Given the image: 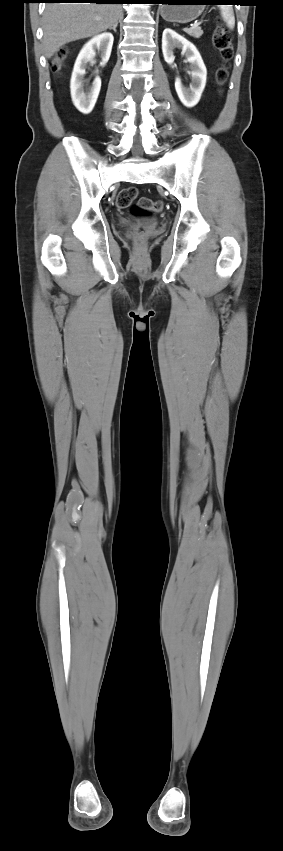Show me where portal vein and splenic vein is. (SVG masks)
Returning <instances> with one entry per match:
<instances>
[{
  "label": "portal vein and splenic vein",
  "instance_id": "obj_1",
  "mask_svg": "<svg viewBox=\"0 0 283 851\" xmlns=\"http://www.w3.org/2000/svg\"><path fill=\"white\" fill-rule=\"evenodd\" d=\"M199 25H200V23H199V22H195V23H194V25H193V27H198Z\"/></svg>",
  "mask_w": 283,
  "mask_h": 851
}]
</instances>
